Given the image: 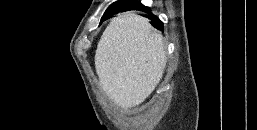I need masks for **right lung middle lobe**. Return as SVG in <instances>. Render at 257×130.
Here are the masks:
<instances>
[{
  "mask_svg": "<svg viewBox=\"0 0 257 130\" xmlns=\"http://www.w3.org/2000/svg\"><path fill=\"white\" fill-rule=\"evenodd\" d=\"M131 0H121V1H118V2H115L113 5H111L107 10L106 12L104 13L103 16H105L107 13H112L114 11H116L118 8L130 3Z\"/></svg>",
  "mask_w": 257,
  "mask_h": 130,
  "instance_id": "dd1d6c3e",
  "label": "right lung middle lobe"
}]
</instances>
